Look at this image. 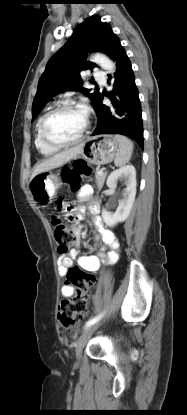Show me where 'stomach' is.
Segmentation results:
<instances>
[{
  "mask_svg": "<svg viewBox=\"0 0 187 415\" xmlns=\"http://www.w3.org/2000/svg\"><path fill=\"white\" fill-rule=\"evenodd\" d=\"M119 145L112 135H97L88 138L79 153V158L93 165H105L113 161ZM59 178L51 171L36 175L30 180L29 188L34 200L42 205L51 201L59 187Z\"/></svg>",
  "mask_w": 187,
  "mask_h": 415,
  "instance_id": "obj_1",
  "label": "stomach"
}]
</instances>
